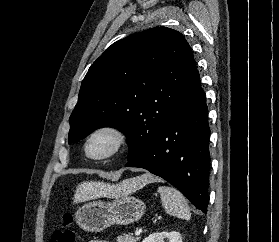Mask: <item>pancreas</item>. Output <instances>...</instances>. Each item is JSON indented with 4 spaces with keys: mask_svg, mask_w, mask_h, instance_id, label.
<instances>
[{
    "mask_svg": "<svg viewBox=\"0 0 279 242\" xmlns=\"http://www.w3.org/2000/svg\"><path fill=\"white\" fill-rule=\"evenodd\" d=\"M139 239V237H133L131 235H119L117 242H137Z\"/></svg>",
    "mask_w": 279,
    "mask_h": 242,
    "instance_id": "1",
    "label": "pancreas"
}]
</instances>
